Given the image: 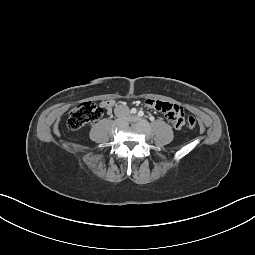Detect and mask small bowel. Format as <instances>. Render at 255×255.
I'll use <instances>...</instances> for the list:
<instances>
[{"label": "small bowel", "instance_id": "c3829d8e", "mask_svg": "<svg viewBox=\"0 0 255 255\" xmlns=\"http://www.w3.org/2000/svg\"><path fill=\"white\" fill-rule=\"evenodd\" d=\"M146 105L156 111L163 113L170 122V127L174 131H179L186 123L185 112L180 106L160 101L156 99L146 100ZM101 106L106 112L112 111L115 106V101L112 99L104 100L101 102Z\"/></svg>", "mask_w": 255, "mask_h": 255}]
</instances>
